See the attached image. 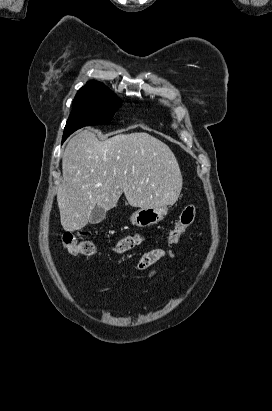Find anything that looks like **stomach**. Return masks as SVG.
<instances>
[{
	"label": "stomach",
	"mask_w": 272,
	"mask_h": 411,
	"mask_svg": "<svg viewBox=\"0 0 272 411\" xmlns=\"http://www.w3.org/2000/svg\"><path fill=\"white\" fill-rule=\"evenodd\" d=\"M167 212L166 206L140 208L131 215L130 221L138 227H148L160 222Z\"/></svg>",
	"instance_id": "1"
}]
</instances>
